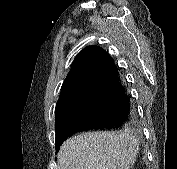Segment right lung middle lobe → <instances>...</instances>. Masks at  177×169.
Listing matches in <instances>:
<instances>
[{
	"mask_svg": "<svg viewBox=\"0 0 177 169\" xmlns=\"http://www.w3.org/2000/svg\"><path fill=\"white\" fill-rule=\"evenodd\" d=\"M89 91L87 85H84L74 94L57 102L55 110L56 127L65 119L77 115L85 107L89 100Z\"/></svg>",
	"mask_w": 177,
	"mask_h": 169,
	"instance_id": "1",
	"label": "right lung middle lobe"
}]
</instances>
